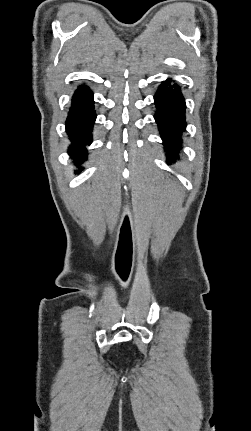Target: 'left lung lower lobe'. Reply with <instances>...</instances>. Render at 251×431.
Listing matches in <instances>:
<instances>
[{
  "label": "left lung lower lobe",
  "mask_w": 251,
  "mask_h": 431,
  "mask_svg": "<svg viewBox=\"0 0 251 431\" xmlns=\"http://www.w3.org/2000/svg\"><path fill=\"white\" fill-rule=\"evenodd\" d=\"M157 111L155 120L165 146L168 160L173 159L182 145V134L186 128L185 100L177 84L171 80L163 82L154 96Z\"/></svg>",
  "instance_id": "0a47b994"
}]
</instances>
